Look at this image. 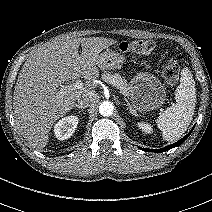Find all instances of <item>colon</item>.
Returning <instances> with one entry per match:
<instances>
[{
  "label": "colon",
  "instance_id": "5ec220e1",
  "mask_svg": "<svg viewBox=\"0 0 212 212\" xmlns=\"http://www.w3.org/2000/svg\"><path fill=\"white\" fill-rule=\"evenodd\" d=\"M119 49L122 52H135L139 54L149 55L154 52L155 45L152 41L138 40L132 42H123ZM180 67L176 59L169 58L165 60L162 68V75L166 82L175 83L179 75Z\"/></svg>",
  "mask_w": 212,
  "mask_h": 212
}]
</instances>
